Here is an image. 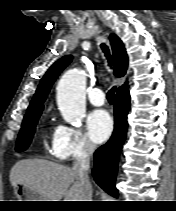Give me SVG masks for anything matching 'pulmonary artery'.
Returning <instances> with one entry per match:
<instances>
[{"mask_svg": "<svg viewBox=\"0 0 176 211\" xmlns=\"http://www.w3.org/2000/svg\"><path fill=\"white\" fill-rule=\"evenodd\" d=\"M89 101L94 106H102L105 103V95L102 89L94 88L89 93Z\"/></svg>", "mask_w": 176, "mask_h": 211, "instance_id": "1", "label": "pulmonary artery"}]
</instances>
